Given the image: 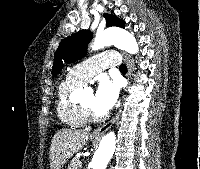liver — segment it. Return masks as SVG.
<instances>
[{
  "mask_svg": "<svg viewBox=\"0 0 200 169\" xmlns=\"http://www.w3.org/2000/svg\"><path fill=\"white\" fill-rule=\"evenodd\" d=\"M89 133L76 129L58 130L52 138L49 152L51 169H61L87 143Z\"/></svg>",
  "mask_w": 200,
  "mask_h": 169,
  "instance_id": "1",
  "label": "liver"
}]
</instances>
